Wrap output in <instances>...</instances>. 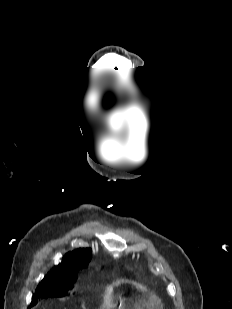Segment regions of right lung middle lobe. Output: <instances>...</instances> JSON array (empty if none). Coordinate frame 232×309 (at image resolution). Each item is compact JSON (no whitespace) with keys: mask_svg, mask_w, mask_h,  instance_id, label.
<instances>
[{"mask_svg":"<svg viewBox=\"0 0 232 309\" xmlns=\"http://www.w3.org/2000/svg\"><path fill=\"white\" fill-rule=\"evenodd\" d=\"M73 288V282L64 281V282H55V283H44L41 282L37 289L35 290L34 295L32 296V302L30 307L36 305L40 299L46 297H62L65 296L70 289Z\"/></svg>","mask_w":232,"mask_h":309,"instance_id":"right-lung-middle-lobe-1","label":"right lung middle lobe"}]
</instances>
